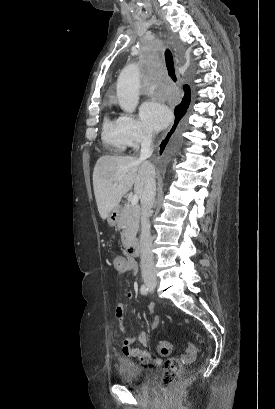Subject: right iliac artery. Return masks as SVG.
I'll return each instance as SVG.
<instances>
[{
  "label": "right iliac artery",
  "instance_id": "obj_1",
  "mask_svg": "<svg viewBox=\"0 0 275 409\" xmlns=\"http://www.w3.org/2000/svg\"><path fill=\"white\" fill-rule=\"evenodd\" d=\"M140 291H141V294L146 295L148 294V287L145 285H142Z\"/></svg>",
  "mask_w": 275,
  "mask_h": 409
}]
</instances>
